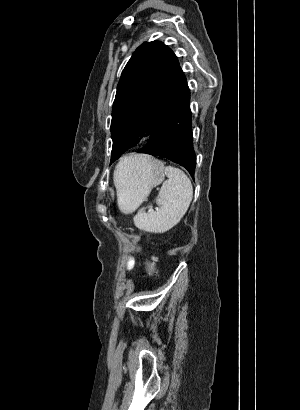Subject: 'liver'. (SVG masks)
<instances>
[{"label": "liver", "instance_id": "liver-1", "mask_svg": "<svg viewBox=\"0 0 300 410\" xmlns=\"http://www.w3.org/2000/svg\"><path fill=\"white\" fill-rule=\"evenodd\" d=\"M144 157H145V155H135L136 160L144 159ZM118 190H119V188H117V191Z\"/></svg>", "mask_w": 300, "mask_h": 410}]
</instances>
